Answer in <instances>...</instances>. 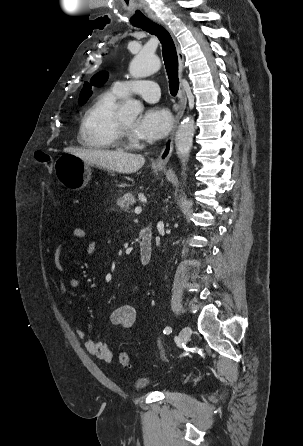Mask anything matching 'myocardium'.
Returning <instances> with one entry per match:
<instances>
[{
  "label": "myocardium",
  "mask_w": 303,
  "mask_h": 446,
  "mask_svg": "<svg viewBox=\"0 0 303 446\" xmlns=\"http://www.w3.org/2000/svg\"><path fill=\"white\" fill-rule=\"evenodd\" d=\"M118 145L129 146L133 143V136L131 130H129L123 121L118 118Z\"/></svg>",
  "instance_id": "myocardium-1"
}]
</instances>
